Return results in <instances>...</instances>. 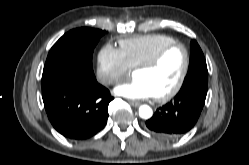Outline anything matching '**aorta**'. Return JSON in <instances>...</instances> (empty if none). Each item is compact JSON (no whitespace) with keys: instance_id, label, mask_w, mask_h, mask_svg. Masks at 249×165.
<instances>
[{"instance_id":"aorta-1","label":"aorta","mask_w":249,"mask_h":165,"mask_svg":"<svg viewBox=\"0 0 249 165\" xmlns=\"http://www.w3.org/2000/svg\"><path fill=\"white\" fill-rule=\"evenodd\" d=\"M153 115L152 109L148 105H141L139 107V116L143 119H149Z\"/></svg>"}]
</instances>
